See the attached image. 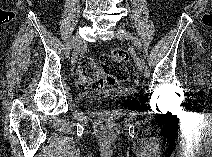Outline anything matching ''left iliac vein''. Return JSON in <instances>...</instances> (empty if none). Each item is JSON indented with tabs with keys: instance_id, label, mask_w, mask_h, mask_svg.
Segmentation results:
<instances>
[{
	"instance_id": "1",
	"label": "left iliac vein",
	"mask_w": 212,
	"mask_h": 157,
	"mask_svg": "<svg viewBox=\"0 0 212 157\" xmlns=\"http://www.w3.org/2000/svg\"><path fill=\"white\" fill-rule=\"evenodd\" d=\"M116 36L119 40H132L134 38L133 35L127 31L117 32ZM137 66L140 72L144 71V75H145L143 63L139 58H137Z\"/></svg>"
}]
</instances>
